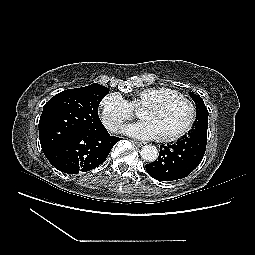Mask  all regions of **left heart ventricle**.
Returning a JSON list of instances; mask_svg holds the SVG:
<instances>
[{
  "instance_id": "b2bd125f",
  "label": "left heart ventricle",
  "mask_w": 255,
  "mask_h": 255,
  "mask_svg": "<svg viewBox=\"0 0 255 255\" xmlns=\"http://www.w3.org/2000/svg\"><path fill=\"white\" fill-rule=\"evenodd\" d=\"M189 115L188 106L177 99L168 101L159 107H143L139 111L141 119L154 123L159 136L169 135L182 129L186 125Z\"/></svg>"
}]
</instances>
